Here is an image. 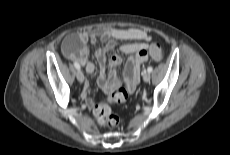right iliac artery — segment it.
I'll return each mask as SVG.
<instances>
[{
	"mask_svg": "<svg viewBox=\"0 0 230 155\" xmlns=\"http://www.w3.org/2000/svg\"><path fill=\"white\" fill-rule=\"evenodd\" d=\"M74 67L77 69V70H80V65L78 63H74Z\"/></svg>",
	"mask_w": 230,
	"mask_h": 155,
	"instance_id": "82829eb1",
	"label": "right iliac artery"
}]
</instances>
